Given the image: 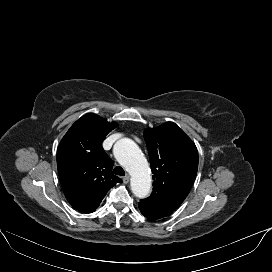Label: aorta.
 I'll return each instance as SVG.
<instances>
[{"label":"aorta","mask_w":272,"mask_h":272,"mask_svg":"<svg viewBox=\"0 0 272 272\" xmlns=\"http://www.w3.org/2000/svg\"><path fill=\"white\" fill-rule=\"evenodd\" d=\"M114 156L131 175V190L138 198H145L151 188L148 163L138 145L131 139L123 138L114 145Z\"/></svg>","instance_id":"1"}]
</instances>
